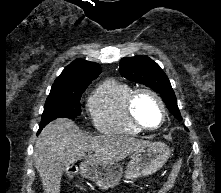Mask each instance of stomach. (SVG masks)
<instances>
[{
    "label": "stomach",
    "instance_id": "0dacf381",
    "mask_svg": "<svg viewBox=\"0 0 221 193\" xmlns=\"http://www.w3.org/2000/svg\"><path fill=\"white\" fill-rule=\"evenodd\" d=\"M170 154L171 150L166 144L148 143L135 151L124 172V177L134 179L154 174L167 162ZM80 174L95 182L99 188L107 190L119 184L123 169L117 163L96 165L84 161L80 165Z\"/></svg>",
    "mask_w": 221,
    "mask_h": 193
}]
</instances>
